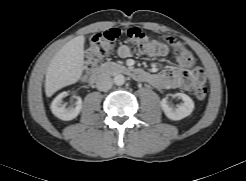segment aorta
Wrapping results in <instances>:
<instances>
[{
  "instance_id": "obj_1",
  "label": "aorta",
  "mask_w": 246,
  "mask_h": 181,
  "mask_svg": "<svg viewBox=\"0 0 246 181\" xmlns=\"http://www.w3.org/2000/svg\"><path fill=\"white\" fill-rule=\"evenodd\" d=\"M113 82L117 86H122L125 83V77L122 74H117L114 76Z\"/></svg>"
}]
</instances>
